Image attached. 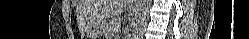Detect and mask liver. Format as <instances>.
<instances>
[{"label": "liver", "instance_id": "1", "mask_svg": "<svg viewBox=\"0 0 249 39\" xmlns=\"http://www.w3.org/2000/svg\"><path fill=\"white\" fill-rule=\"evenodd\" d=\"M123 3L124 0H81L79 7L83 29L86 31L89 21H101L121 15Z\"/></svg>", "mask_w": 249, "mask_h": 39}]
</instances>
